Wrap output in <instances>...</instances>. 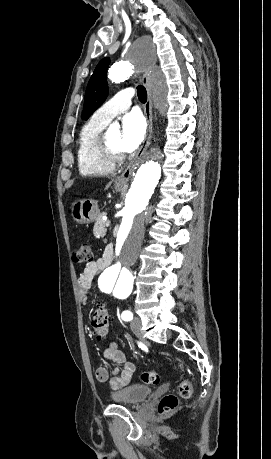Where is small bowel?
<instances>
[{
	"instance_id": "obj_1",
	"label": "small bowel",
	"mask_w": 271,
	"mask_h": 459,
	"mask_svg": "<svg viewBox=\"0 0 271 459\" xmlns=\"http://www.w3.org/2000/svg\"><path fill=\"white\" fill-rule=\"evenodd\" d=\"M110 264V256L107 253L96 260L88 262L78 278L79 298L82 304L88 302L92 281ZM104 357L116 364V368L110 373L105 367H98L95 376L98 382L107 383L112 389L127 386L134 374L135 367L130 363L125 354L119 350L116 343L111 342L104 351Z\"/></svg>"
}]
</instances>
